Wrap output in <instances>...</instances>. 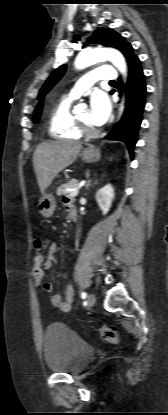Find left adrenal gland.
Returning <instances> with one entry per match:
<instances>
[{"label":"left adrenal gland","instance_id":"1","mask_svg":"<svg viewBox=\"0 0 168 415\" xmlns=\"http://www.w3.org/2000/svg\"><path fill=\"white\" fill-rule=\"evenodd\" d=\"M92 185V180L89 179V173H87V182L85 184L86 190L89 189V187Z\"/></svg>","mask_w":168,"mask_h":415}]
</instances>
